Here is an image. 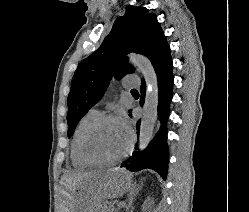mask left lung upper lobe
Instances as JSON below:
<instances>
[{
	"mask_svg": "<svg viewBox=\"0 0 249 212\" xmlns=\"http://www.w3.org/2000/svg\"><path fill=\"white\" fill-rule=\"evenodd\" d=\"M145 7H129L118 17L102 45L79 64L68 95V137L80 119L98 102L113 77L133 73L126 55L136 52L151 62L168 45L154 13Z\"/></svg>",
	"mask_w": 249,
	"mask_h": 212,
	"instance_id": "1",
	"label": "left lung upper lobe"
}]
</instances>
